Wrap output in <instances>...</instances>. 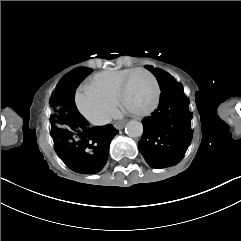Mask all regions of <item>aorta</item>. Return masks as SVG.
Wrapping results in <instances>:
<instances>
[{
    "label": "aorta",
    "mask_w": 241,
    "mask_h": 241,
    "mask_svg": "<svg viewBox=\"0 0 241 241\" xmlns=\"http://www.w3.org/2000/svg\"><path fill=\"white\" fill-rule=\"evenodd\" d=\"M125 132L130 137H140L143 134V125L136 120L129 121L126 125Z\"/></svg>",
    "instance_id": "1"
}]
</instances>
